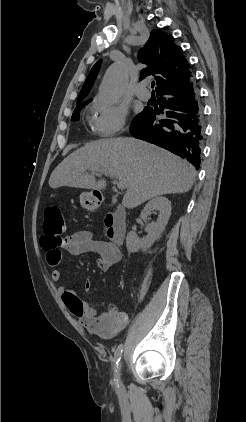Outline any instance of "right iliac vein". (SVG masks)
<instances>
[{"label": "right iliac vein", "mask_w": 246, "mask_h": 422, "mask_svg": "<svg viewBox=\"0 0 246 422\" xmlns=\"http://www.w3.org/2000/svg\"><path fill=\"white\" fill-rule=\"evenodd\" d=\"M121 363L118 364L117 370H118V375L120 376V371H121Z\"/></svg>", "instance_id": "63e3f726"}]
</instances>
